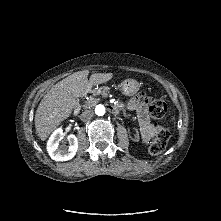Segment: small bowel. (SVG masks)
Returning a JSON list of instances; mask_svg holds the SVG:
<instances>
[{
    "label": "small bowel",
    "instance_id": "small-bowel-1",
    "mask_svg": "<svg viewBox=\"0 0 221 221\" xmlns=\"http://www.w3.org/2000/svg\"><path fill=\"white\" fill-rule=\"evenodd\" d=\"M130 107L137 112L142 141L148 143L155 137L157 133V125L151 121L147 106L143 100L138 98L132 99L130 101Z\"/></svg>",
    "mask_w": 221,
    "mask_h": 221
}]
</instances>
